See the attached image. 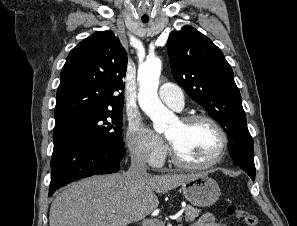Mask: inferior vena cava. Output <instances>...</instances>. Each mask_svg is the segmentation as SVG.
Masks as SVG:
<instances>
[{"label": "inferior vena cava", "instance_id": "inferior-vena-cava-1", "mask_svg": "<svg viewBox=\"0 0 297 226\" xmlns=\"http://www.w3.org/2000/svg\"><path fill=\"white\" fill-rule=\"evenodd\" d=\"M126 174L130 179H140L147 176V164L144 157L134 154L131 158V165Z\"/></svg>", "mask_w": 297, "mask_h": 226}]
</instances>
